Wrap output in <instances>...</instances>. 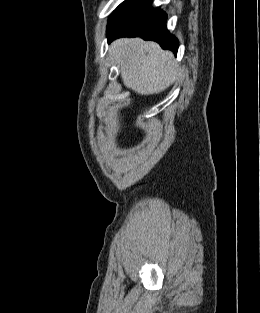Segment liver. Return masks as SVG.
<instances>
[{"mask_svg": "<svg viewBox=\"0 0 260 313\" xmlns=\"http://www.w3.org/2000/svg\"><path fill=\"white\" fill-rule=\"evenodd\" d=\"M124 85L141 95L157 94L170 87L179 69L170 51L151 41L121 38L110 46Z\"/></svg>", "mask_w": 260, "mask_h": 313, "instance_id": "obj_1", "label": "liver"}]
</instances>
